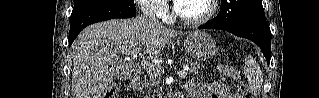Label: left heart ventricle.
I'll list each match as a JSON object with an SVG mask.
<instances>
[{"label": "left heart ventricle", "mask_w": 319, "mask_h": 98, "mask_svg": "<svg viewBox=\"0 0 319 98\" xmlns=\"http://www.w3.org/2000/svg\"><path fill=\"white\" fill-rule=\"evenodd\" d=\"M178 12L188 18H197L208 10V0H187L183 1L177 8Z\"/></svg>", "instance_id": "obj_1"}]
</instances>
